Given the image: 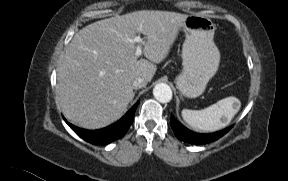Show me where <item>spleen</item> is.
Masks as SVG:
<instances>
[{"instance_id":"1","label":"spleen","mask_w":288,"mask_h":181,"mask_svg":"<svg viewBox=\"0 0 288 181\" xmlns=\"http://www.w3.org/2000/svg\"><path fill=\"white\" fill-rule=\"evenodd\" d=\"M240 107V100L230 96L202 110L183 109L182 117L192 128L212 132L226 127Z\"/></svg>"}]
</instances>
